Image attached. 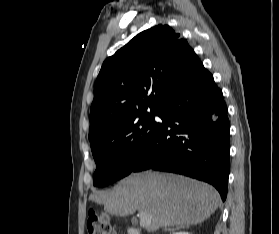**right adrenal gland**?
<instances>
[{"label":"right adrenal gland","mask_w":279,"mask_h":234,"mask_svg":"<svg viewBox=\"0 0 279 234\" xmlns=\"http://www.w3.org/2000/svg\"><path fill=\"white\" fill-rule=\"evenodd\" d=\"M164 230L167 231V230H171V229L170 228L169 229L165 228Z\"/></svg>","instance_id":"obj_1"}]
</instances>
